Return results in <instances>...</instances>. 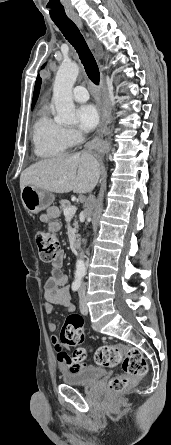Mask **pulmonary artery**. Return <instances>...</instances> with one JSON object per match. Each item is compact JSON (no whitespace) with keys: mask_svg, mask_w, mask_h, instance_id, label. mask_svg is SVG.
<instances>
[{"mask_svg":"<svg viewBox=\"0 0 171 445\" xmlns=\"http://www.w3.org/2000/svg\"><path fill=\"white\" fill-rule=\"evenodd\" d=\"M73 98L77 102H86L89 99V94L84 86H76L73 89Z\"/></svg>","mask_w":171,"mask_h":445,"instance_id":"obj_1","label":"pulmonary artery"}]
</instances>
